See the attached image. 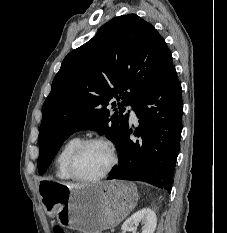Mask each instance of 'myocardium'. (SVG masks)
<instances>
[{"label":"myocardium","mask_w":227,"mask_h":233,"mask_svg":"<svg viewBox=\"0 0 227 233\" xmlns=\"http://www.w3.org/2000/svg\"><path fill=\"white\" fill-rule=\"evenodd\" d=\"M90 144H102V145H104L109 151L110 162H109L107 168L102 173L95 175V176L84 177V176H80L79 174L76 173L75 168H74V162H75V158H76L77 154L85 146L90 145ZM117 161H118V158H117L116 149L110 140H108L106 138H102V137H90V138L80 140L73 147V149L70 151L68 158H67V170H68V173L71 176V178L74 180H77L80 182H94V181H99V180L107 177L112 172L114 167L116 166Z\"/></svg>","instance_id":"f54148a6"}]
</instances>
